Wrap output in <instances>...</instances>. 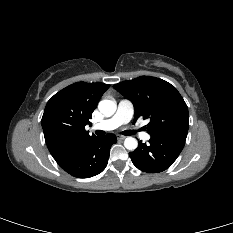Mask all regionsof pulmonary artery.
Returning a JSON list of instances; mask_svg holds the SVG:
<instances>
[{"instance_id": "1", "label": "pulmonary artery", "mask_w": 233, "mask_h": 233, "mask_svg": "<svg viewBox=\"0 0 233 233\" xmlns=\"http://www.w3.org/2000/svg\"><path fill=\"white\" fill-rule=\"evenodd\" d=\"M133 114V104L127 99H122L118 104L116 113L112 117L93 125V129L103 131L114 130L119 126L128 123L132 119ZM139 136L144 141L150 139V135L146 132H141Z\"/></svg>"}]
</instances>
